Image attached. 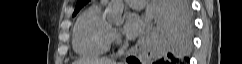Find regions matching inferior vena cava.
I'll use <instances>...</instances> for the list:
<instances>
[{
    "label": "inferior vena cava",
    "instance_id": "1",
    "mask_svg": "<svg viewBox=\"0 0 242 64\" xmlns=\"http://www.w3.org/2000/svg\"><path fill=\"white\" fill-rule=\"evenodd\" d=\"M128 48V41H125L124 44L121 46V48L118 51V55L121 56L124 54V52L127 50Z\"/></svg>",
    "mask_w": 242,
    "mask_h": 64
}]
</instances>
